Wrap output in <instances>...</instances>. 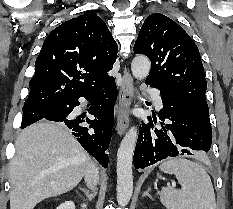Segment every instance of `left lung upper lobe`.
Segmentation results:
<instances>
[{"instance_id": "obj_1", "label": "left lung upper lobe", "mask_w": 233, "mask_h": 209, "mask_svg": "<svg viewBox=\"0 0 233 209\" xmlns=\"http://www.w3.org/2000/svg\"><path fill=\"white\" fill-rule=\"evenodd\" d=\"M133 49L151 61L146 81L208 111L207 82L199 50L180 25L163 14H151L144 21Z\"/></svg>"}]
</instances>
